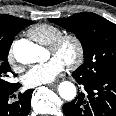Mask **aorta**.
<instances>
[{"mask_svg":"<svg viewBox=\"0 0 116 116\" xmlns=\"http://www.w3.org/2000/svg\"><path fill=\"white\" fill-rule=\"evenodd\" d=\"M13 54L15 59L22 64L43 62L47 59L46 50L44 48L26 39L15 42ZM58 92L59 95L67 101L73 100L77 93L75 85L69 81L61 82L58 87Z\"/></svg>","mask_w":116,"mask_h":116,"instance_id":"762f6f07","label":"aorta"}]
</instances>
